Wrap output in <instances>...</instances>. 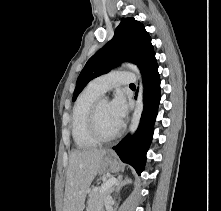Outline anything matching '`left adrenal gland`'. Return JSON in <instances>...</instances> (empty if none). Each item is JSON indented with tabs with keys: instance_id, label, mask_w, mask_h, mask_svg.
Returning <instances> with one entry per match:
<instances>
[{
	"instance_id": "left-adrenal-gland-1",
	"label": "left adrenal gland",
	"mask_w": 221,
	"mask_h": 211,
	"mask_svg": "<svg viewBox=\"0 0 221 211\" xmlns=\"http://www.w3.org/2000/svg\"><path fill=\"white\" fill-rule=\"evenodd\" d=\"M131 182L130 179H128L127 177L123 180V176H119L117 179V183H116V187H115V192L118 193L120 192V189L122 188V186L129 184Z\"/></svg>"
}]
</instances>
